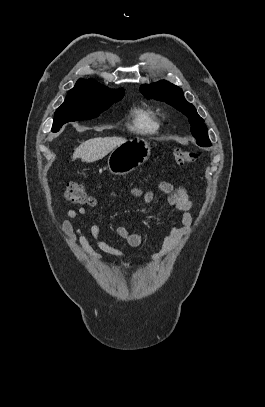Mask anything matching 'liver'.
<instances>
[{
	"instance_id": "1",
	"label": "liver",
	"mask_w": 265,
	"mask_h": 407,
	"mask_svg": "<svg viewBox=\"0 0 265 407\" xmlns=\"http://www.w3.org/2000/svg\"><path fill=\"white\" fill-rule=\"evenodd\" d=\"M121 137H97L83 142L73 153L72 159L81 158L82 161L91 163L105 157L116 147L126 143Z\"/></svg>"
}]
</instances>
